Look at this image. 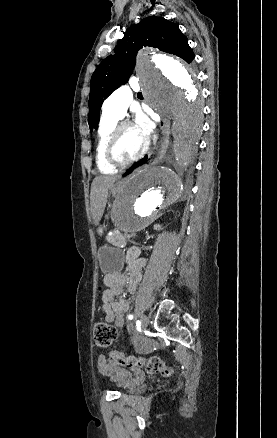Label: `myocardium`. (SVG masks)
<instances>
[{"mask_svg":"<svg viewBox=\"0 0 277 438\" xmlns=\"http://www.w3.org/2000/svg\"><path fill=\"white\" fill-rule=\"evenodd\" d=\"M127 127H134V125L129 121L118 122L113 128L106 145V149H105L106 160L109 164H111L114 167L124 168L130 166L135 162L139 161L147 151V143L145 142L141 152L137 156L128 160H124L118 157L117 147H118L119 139L122 131Z\"/></svg>","mask_w":277,"mask_h":438,"instance_id":"myocardium-1","label":"myocardium"}]
</instances>
